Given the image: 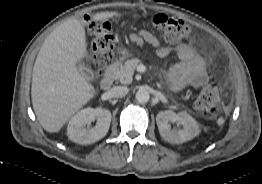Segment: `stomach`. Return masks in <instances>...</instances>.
Here are the masks:
<instances>
[{
    "mask_svg": "<svg viewBox=\"0 0 262 184\" xmlns=\"http://www.w3.org/2000/svg\"><path fill=\"white\" fill-rule=\"evenodd\" d=\"M129 54H130V52H129L127 49L121 50V55H122L123 57L129 56Z\"/></svg>",
    "mask_w": 262,
    "mask_h": 184,
    "instance_id": "1",
    "label": "stomach"
}]
</instances>
